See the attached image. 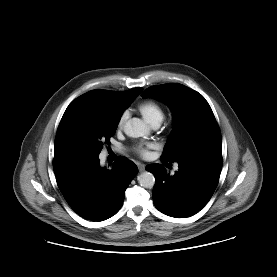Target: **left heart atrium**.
<instances>
[{"label": "left heart atrium", "instance_id": "39dd6f15", "mask_svg": "<svg viewBox=\"0 0 277 277\" xmlns=\"http://www.w3.org/2000/svg\"><path fill=\"white\" fill-rule=\"evenodd\" d=\"M153 143H141L135 147V151L142 157L148 156L149 149L154 148Z\"/></svg>", "mask_w": 277, "mask_h": 277}]
</instances>
